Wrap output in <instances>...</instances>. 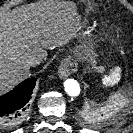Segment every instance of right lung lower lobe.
Segmentation results:
<instances>
[{
  "mask_svg": "<svg viewBox=\"0 0 133 133\" xmlns=\"http://www.w3.org/2000/svg\"><path fill=\"white\" fill-rule=\"evenodd\" d=\"M36 79L29 78L12 91L0 96V126H15L19 124L29 107Z\"/></svg>",
  "mask_w": 133,
  "mask_h": 133,
  "instance_id": "right-lung-lower-lobe-1",
  "label": "right lung lower lobe"
}]
</instances>
